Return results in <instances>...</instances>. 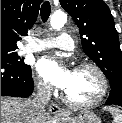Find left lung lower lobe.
I'll return each mask as SVG.
<instances>
[{"mask_svg":"<svg viewBox=\"0 0 122 123\" xmlns=\"http://www.w3.org/2000/svg\"><path fill=\"white\" fill-rule=\"evenodd\" d=\"M104 105H118L122 107V84L111 89L110 95Z\"/></svg>","mask_w":122,"mask_h":123,"instance_id":"1","label":"left lung lower lobe"}]
</instances>
